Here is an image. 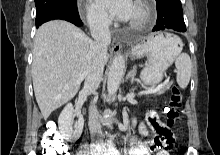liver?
I'll use <instances>...</instances> for the list:
<instances>
[{
	"instance_id": "1",
	"label": "liver",
	"mask_w": 220,
	"mask_h": 155,
	"mask_svg": "<svg viewBox=\"0 0 220 155\" xmlns=\"http://www.w3.org/2000/svg\"><path fill=\"white\" fill-rule=\"evenodd\" d=\"M91 44L92 40L81 29L66 21H50L37 30L32 78L44 119L79 91ZM108 58L107 54L106 61Z\"/></svg>"
}]
</instances>
